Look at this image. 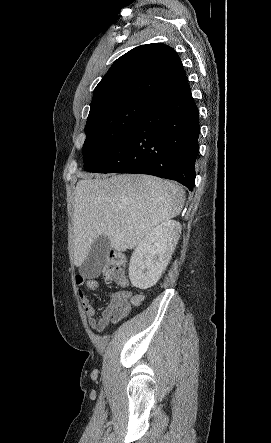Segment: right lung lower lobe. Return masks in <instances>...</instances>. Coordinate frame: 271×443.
<instances>
[{
	"instance_id": "1",
	"label": "right lung lower lobe",
	"mask_w": 271,
	"mask_h": 443,
	"mask_svg": "<svg viewBox=\"0 0 271 443\" xmlns=\"http://www.w3.org/2000/svg\"><path fill=\"white\" fill-rule=\"evenodd\" d=\"M198 108L190 88L153 102L96 173H141L176 180L190 191L198 156Z\"/></svg>"
}]
</instances>
